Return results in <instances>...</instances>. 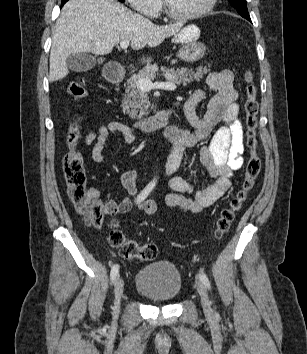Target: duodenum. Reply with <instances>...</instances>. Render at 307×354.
<instances>
[{
  "label": "duodenum",
  "mask_w": 307,
  "mask_h": 354,
  "mask_svg": "<svg viewBox=\"0 0 307 354\" xmlns=\"http://www.w3.org/2000/svg\"><path fill=\"white\" fill-rule=\"evenodd\" d=\"M106 77L111 83H120L125 77L124 70L118 66L109 67L106 71ZM171 111L164 110L157 112L156 114L140 119L132 124V127L141 132H151L169 123L171 117Z\"/></svg>",
  "instance_id": "1"
}]
</instances>
